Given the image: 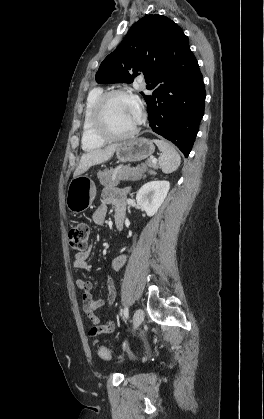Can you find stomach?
I'll return each mask as SVG.
<instances>
[{
	"instance_id": "stomach-1",
	"label": "stomach",
	"mask_w": 264,
	"mask_h": 419,
	"mask_svg": "<svg viewBox=\"0 0 264 419\" xmlns=\"http://www.w3.org/2000/svg\"><path fill=\"white\" fill-rule=\"evenodd\" d=\"M155 151L151 140L136 138L118 144L116 156L121 162L141 161L150 157ZM94 182L85 175L74 177L68 186L66 195L67 208L72 213H80L89 208L95 198Z\"/></svg>"
}]
</instances>
